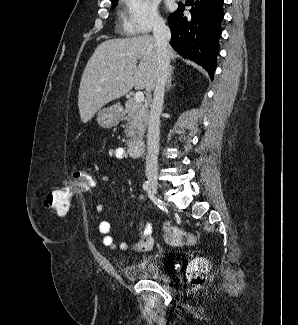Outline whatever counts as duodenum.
<instances>
[{"instance_id":"obj_1","label":"duodenum","mask_w":298,"mask_h":325,"mask_svg":"<svg viewBox=\"0 0 298 325\" xmlns=\"http://www.w3.org/2000/svg\"><path fill=\"white\" fill-rule=\"evenodd\" d=\"M129 153L133 157H139L144 153L145 143L142 140H134L129 143Z\"/></svg>"}]
</instances>
